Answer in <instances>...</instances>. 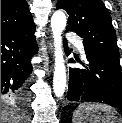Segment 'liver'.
<instances>
[{
    "label": "liver",
    "mask_w": 122,
    "mask_h": 123,
    "mask_svg": "<svg viewBox=\"0 0 122 123\" xmlns=\"http://www.w3.org/2000/svg\"><path fill=\"white\" fill-rule=\"evenodd\" d=\"M23 121L13 108L1 107V123H21Z\"/></svg>",
    "instance_id": "liver-1"
}]
</instances>
